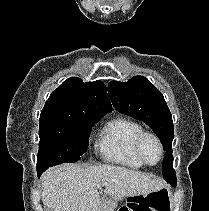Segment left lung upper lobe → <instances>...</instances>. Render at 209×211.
<instances>
[{"label": "left lung upper lobe", "mask_w": 209, "mask_h": 211, "mask_svg": "<svg viewBox=\"0 0 209 211\" xmlns=\"http://www.w3.org/2000/svg\"><path fill=\"white\" fill-rule=\"evenodd\" d=\"M107 89L112 104L118 111L145 122L160 138L168 154L163 160V177L175 176L172 115L162 93L143 76L132 77L127 82L112 81Z\"/></svg>", "instance_id": "left-lung-upper-lobe-1"}]
</instances>
